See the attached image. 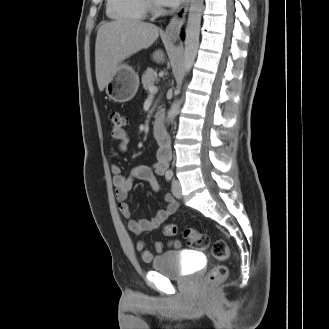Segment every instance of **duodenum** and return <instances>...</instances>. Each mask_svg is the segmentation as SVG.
<instances>
[{"instance_id": "1", "label": "duodenum", "mask_w": 329, "mask_h": 329, "mask_svg": "<svg viewBox=\"0 0 329 329\" xmlns=\"http://www.w3.org/2000/svg\"><path fill=\"white\" fill-rule=\"evenodd\" d=\"M152 130L154 133V136L156 137V139L160 140V141H165L166 139V131H165V127H164V116L162 112H159L153 122H152Z\"/></svg>"}]
</instances>
